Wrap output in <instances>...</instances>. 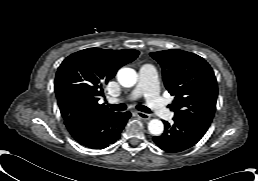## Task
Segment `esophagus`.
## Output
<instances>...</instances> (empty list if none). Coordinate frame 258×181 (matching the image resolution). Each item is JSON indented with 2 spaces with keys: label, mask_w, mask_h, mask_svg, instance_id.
Returning a JSON list of instances; mask_svg holds the SVG:
<instances>
[{
  "label": "esophagus",
  "mask_w": 258,
  "mask_h": 181,
  "mask_svg": "<svg viewBox=\"0 0 258 181\" xmlns=\"http://www.w3.org/2000/svg\"><path fill=\"white\" fill-rule=\"evenodd\" d=\"M136 115L142 119V120H149L150 119V115L147 114V113H144V112H140V111H137L136 112Z\"/></svg>",
  "instance_id": "obj_1"
}]
</instances>
